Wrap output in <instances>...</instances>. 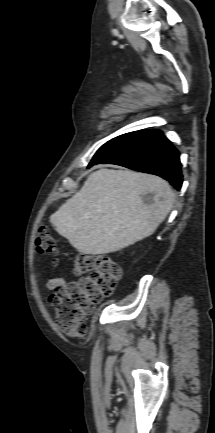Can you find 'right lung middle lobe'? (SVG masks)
<instances>
[{"label":"right lung middle lobe","instance_id":"1","mask_svg":"<svg viewBox=\"0 0 215 433\" xmlns=\"http://www.w3.org/2000/svg\"><path fill=\"white\" fill-rule=\"evenodd\" d=\"M130 132L118 136L107 143H105L93 156L88 168L93 166L94 164H99L100 162L108 159L112 155L116 154L120 150H122L125 146H127L140 132Z\"/></svg>","mask_w":215,"mask_h":433}]
</instances>
